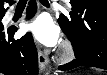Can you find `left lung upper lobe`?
I'll return each mask as SVG.
<instances>
[{
    "mask_svg": "<svg viewBox=\"0 0 107 75\" xmlns=\"http://www.w3.org/2000/svg\"><path fill=\"white\" fill-rule=\"evenodd\" d=\"M70 4L69 16L60 14L58 23L71 39L75 55L89 56L92 46L84 34L89 31L88 25L100 19L107 21V0H70Z\"/></svg>",
    "mask_w": 107,
    "mask_h": 75,
    "instance_id": "5c2ea615",
    "label": "left lung upper lobe"
}]
</instances>
